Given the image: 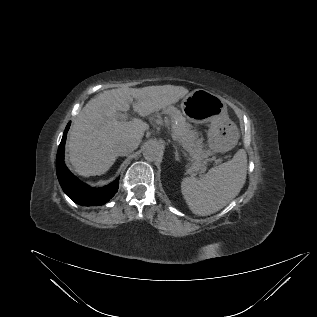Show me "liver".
I'll use <instances>...</instances> for the list:
<instances>
[{
  "mask_svg": "<svg viewBox=\"0 0 317 317\" xmlns=\"http://www.w3.org/2000/svg\"><path fill=\"white\" fill-rule=\"evenodd\" d=\"M187 93L186 88L173 85L123 87L104 91L89 100L68 135L69 160L75 171L84 177L102 175L115 163L117 145L140 143L148 124L138 118L119 120L118 112L128 111L132 104L144 117L178 102Z\"/></svg>",
  "mask_w": 317,
  "mask_h": 317,
  "instance_id": "1",
  "label": "liver"
}]
</instances>
